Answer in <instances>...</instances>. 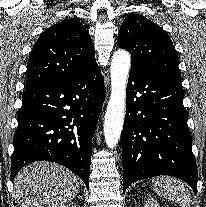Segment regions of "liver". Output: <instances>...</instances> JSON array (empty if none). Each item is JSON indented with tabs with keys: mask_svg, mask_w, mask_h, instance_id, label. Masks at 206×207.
Listing matches in <instances>:
<instances>
[{
	"mask_svg": "<svg viewBox=\"0 0 206 207\" xmlns=\"http://www.w3.org/2000/svg\"><path fill=\"white\" fill-rule=\"evenodd\" d=\"M79 187L78 178L65 167L34 162L15 177L14 197L18 207H65Z\"/></svg>",
	"mask_w": 206,
	"mask_h": 207,
	"instance_id": "liver-1",
	"label": "liver"
}]
</instances>
